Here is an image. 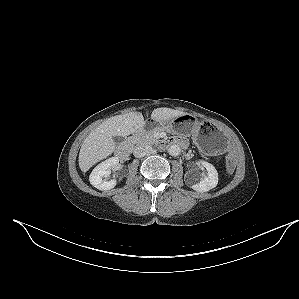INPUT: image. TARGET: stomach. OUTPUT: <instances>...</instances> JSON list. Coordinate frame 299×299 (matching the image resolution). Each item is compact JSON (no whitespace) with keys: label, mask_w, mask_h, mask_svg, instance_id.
I'll return each instance as SVG.
<instances>
[{"label":"stomach","mask_w":299,"mask_h":299,"mask_svg":"<svg viewBox=\"0 0 299 299\" xmlns=\"http://www.w3.org/2000/svg\"><path fill=\"white\" fill-rule=\"evenodd\" d=\"M156 127L168 131H174L176 128L180 133H188L192 136L197 147L210 154L220 153L227 141L224 132L218 126L209 122L198 121L187 114L160 122L150 120L147 124V129Z\"/></svg>","instance_id":"0dacf381"}]
</instances>
